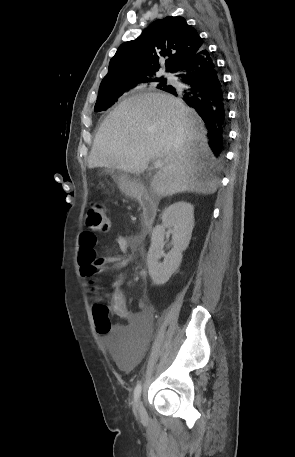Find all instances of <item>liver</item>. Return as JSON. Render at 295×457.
Listing matches in <instances>:
<instances>
[{"label":"liver","instance_id":"obj_1","mask_svg":"<svg viewBox=\"0 0 295 457\" xmlns=\"http://www.w3.org/2000/svg\"><path fill=\"white\" fill-rule=\"evenodd\" d=\"M206 129L196 111L173 95L147 92L116 106L101 124L88 167L144 172L152 160H162L151 182L162 197L180 192L212 194L218 179Z\"/></svg>","mask_w":295,"mask_h":457}]
</instances>
